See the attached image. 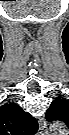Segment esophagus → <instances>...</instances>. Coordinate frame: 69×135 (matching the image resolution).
<instances>
[{"label":"esophagus","mask_w":69,"mask_h":135,"mask_svg":"<svg viewBox=\"0 0 69 135\" xmlns=\"http://www.w3.org/2000/svg\"><path fill=\"white\" fill-rule=\"evenodd\" d=\"M38 124H39L40 133H41V134H44V132L47 131V123H46V120H45L43 117H40V118H39V121H38Z\"/></svg>","instance_id":"obj_1"}]
</instances>
